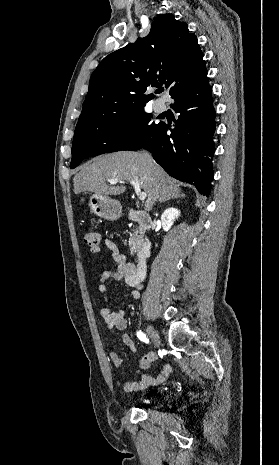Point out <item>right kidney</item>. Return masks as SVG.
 Returning a JSON list of instances; mask_svg holds the SVG:
<instances>
[{"label":"right kidney","mask_w":279,"mask_h":465,"mask_svg":"<svg viewBox=\"0 0 279 465\" xmlns=\"http://www.w3.org/2000/svg\"><path fill=\"white\" fill-rule=\"evenodd\" d=\"M180 215V211L176 208H168L161 215V222L164 231H169L171 226L174 223V220L177 219Z\"/></svg>","instance_id":"right-kidney-1"}]
</instances>
